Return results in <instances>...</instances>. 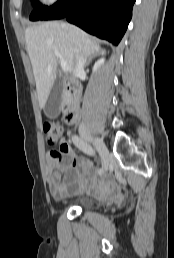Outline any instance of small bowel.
<instances>
[{"instance_id":"obj_1","label":"small bowel","mask_w":174,"mask_h":258,"mask_svg":"<svg viewBox=\"0 0 174 258\" xmlns=\"http://www.w3.org/2000/svg\"><path fill=\"white\" fill-rule=\"evenodd\" d=\"M63 145L66 147L65 157L56 159L50 152L47 166L49 189L53 197L61 198L68 193L70 187H85L88 182L91 184L90 191L95 195L108 196L114 193V185L108 177L96 178L97 171L90 160L78 156L69 142H64Z\"/></svg>"}]
</instances>
